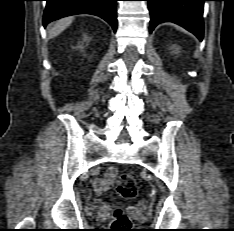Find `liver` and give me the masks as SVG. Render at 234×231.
<instances>
[{
  "instance_id": "6515ba94",
  "label": "liver",
  "mask_w": 234,
  "mask_h": 231,
  "mask_svg": "<svg viewBox=\"0 0 234 231\" xmlns=\"http://www.w3.org/2000/svg\"><path fill=\"white\" fill-rule=\"evenodd\" d=\"M73 17H66L63 19H60L54 23V25L49 29L48 31V37L54 38L58 36L60 33H62L67 27L70 26V24L73 22Z\"/></svg>"
}]
</instances>
